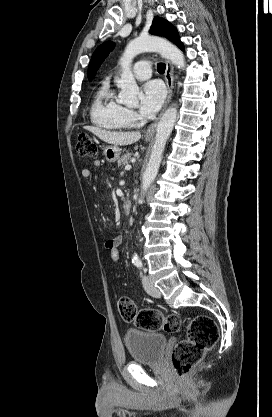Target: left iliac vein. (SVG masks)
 Here are the masks:
<instances>
[{
  "label": "left iliac vein",
  "instance_id": "obj_1",
  "mask_svg": "<svg viewBox=\"0 0 272 417\" xmlns=\"http://www.w3.org/2000/svg\"><path fill=\"white\" fill-rule=\"evenodd\" d=\"M142 282H143V286H144L145 291L149 295H151L152 297H155V298H160L161 297V292L159 291V289L156 288L153 285V283L150 281V279L146 275L143 276Z\"/></svg>",
  "mask_w": 272,
  "mask_h": 417
}]
</instances>
